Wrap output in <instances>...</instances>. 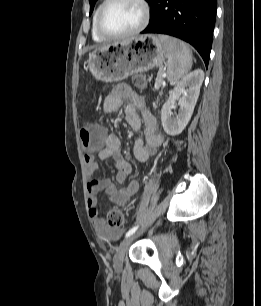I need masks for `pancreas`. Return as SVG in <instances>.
Returning a JSON list of instances; mask_svg holds the SVG:
<instances>
[{"label":"pancreas","instance_id":"cf45deb5","mask_svg":"<svg viewBox=\"0 0 261 306\" xmlns=\"http://www.w3.org/2000/svg\"><path fill=\"white\" fill-rule=\"evenodd\" d=\"M156 83H157V88H155V89H158V88L161 86V80L158 79V80L156 81Z\"/></svg>","mask_w":261,"mask_h":306}]
</instances>
